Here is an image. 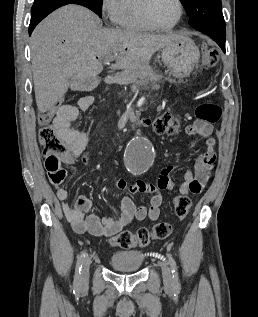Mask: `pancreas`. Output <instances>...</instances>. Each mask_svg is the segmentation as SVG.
<instances>
[{
  "label": "pancreas",
  "mask_w": 258,
  "mask_h": 317,
  "mask_svg": "<svg viewBox=\"0 0 258 317\" xmlns=\"http://www.w3.org/2000/svg\"><path fill=\"white\" fill-rule=\"evenodd\" d=\"M117 84H126L130 89L135 90L136 93H141L142 90L156 89L158 86V78L155 77H117ZM109 82H114V77H109Z\"/></svg>",
  "instance_id": "cf45deb5"
}]
</instances>
